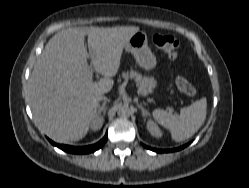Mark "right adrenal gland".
Returning <instances> with one entry per match:
<instances>
[{"label":"right adrenal gland","instance_id":"obj_1","mask_svg":"<svg viewBox=\"0 0 249 188\" xmlns=\"http://www.w3.org/2000/svg\"><path fill=\"white\" fill-rule=\"evenodd\" d=\"M110 100L109 99H105L104 102L102 103L101 106H99L98 108V114H101V112H103V119L105 117V114H106V103L109 102Z\"/></svg>","mask_w":249,"mask_h":188}]
</instances>
